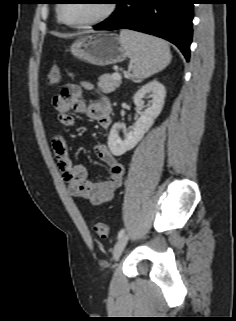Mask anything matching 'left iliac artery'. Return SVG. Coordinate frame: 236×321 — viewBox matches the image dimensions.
<instances>
[{"label": "left iliac artery", "instance_id": "1", "mask_svg": "<svg viewBox=\"0 0 236 321\" xmlns=\"http://www.w3.org/2000/svg\"><path fill=\"white\" fill-rule=\"evenodd\" d=\"M124 232H125V230H124V229H121V230L119 231V233H118L117 238L120 239V238L124 235Z\"/></svg>", "mask_w": 236, "mask_h": 321}]
</instances>
